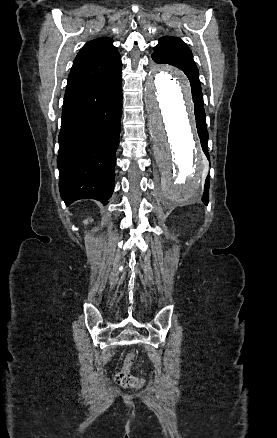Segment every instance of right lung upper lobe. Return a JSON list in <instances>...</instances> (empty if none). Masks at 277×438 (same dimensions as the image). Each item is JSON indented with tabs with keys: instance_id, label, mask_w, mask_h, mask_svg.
<instances>
[{
	"instance_id": "right-lung-upper-lobe-1",
	"label": "right lung upper lobe",
	"mask_w": 277,
	"mask_h": 438,
	"mask_svg": "<svg viewBox=\"0 0 277 438\" xmlns=\"http://www.w3.org/2000/svg\"><path fill=\"white\" fill-rule=\"evenodd\" d=\"M108 37H100L87 42L77 54L65 94L89 84L114 76L122 69L117 48Z\"/></svg>"
}]
</instances>
